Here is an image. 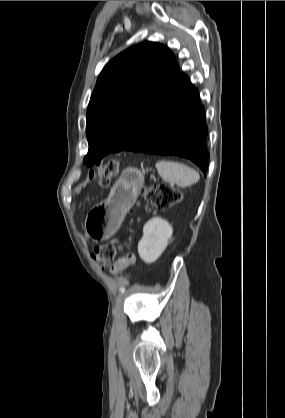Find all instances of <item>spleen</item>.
Segmentation results:
<instances>
[{
  "label": "spleen",
  "instance_id": "3e777b00",
  "mask_svg": "<svg viewBox=\"0 0 285 418\" xmlns=\"http://www.w3.org/2000/svg\"><path fill=\"white\" fill-rule=\"evenodd\" d=\"M155 166L164 181L175 183L180 187H189L200 179L196 170L179 162L159 161Z\"/></svg>",
  "mask_w": 285,
  "mask_h": 418
}]
</instances>
